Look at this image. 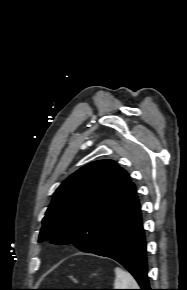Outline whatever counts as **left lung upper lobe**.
Masks as SVG:
<instances>
[{
	"instance_id": "left-lung-upper-lobe-1",
	"label": "left lung upper lobe",
	"mask_w": 187,
	"mask_h": 290,
	"mask_svg": "<svg viewBox=\"0 0 187 290\" xmlns=\"http://www.w3.org/2000/svg\"><path fill=\"white\" fill-rule=\"evenodd\" d=\"M136 198L128 173L112 160L87 164L55 191L43 218L39 242L98 247Z\"/></svg>"
}]
</instances>
